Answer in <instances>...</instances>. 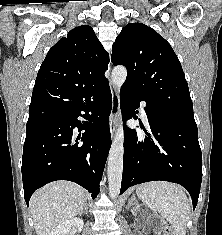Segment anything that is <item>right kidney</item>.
<instances>
[{"instance_id":"obj_1","label":"right kidney","mask_w":222,"mask_h":235,"mask_svg":"<svg viewBox=\"0 0 222 235\" xmlns=\"http://www.w3.org/2000/svg\"><path fill=\"white\" fill-rule=\"evenodd\" d=\"M76 227L78 232H81L84 221L81 218H73L71 220H67L54 228L49 235H69L72 227Z\"/></svg>"}]
</instances>
